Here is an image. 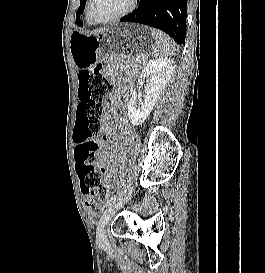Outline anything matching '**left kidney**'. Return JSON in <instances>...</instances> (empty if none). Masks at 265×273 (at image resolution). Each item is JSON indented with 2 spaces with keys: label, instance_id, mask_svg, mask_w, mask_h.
<instances>
[{
  "label": "left kidney",
  "instance_id": "left-kidney-1",
  "mask_svg": "<svg viewBox=\"0 0 265 273\" xmlns=\"http://www.w3.org/2000/svg\"><path fill=\"white\" fill-rule=\"evenodd\" d=\"M175 67L173 59L161 57L153 59L143 68L138 83L139 85L142 84L146 77H150V83L145 86L143 104L140 110L136 109V101L139 98L136 88L128 102V116L133 125L143 123L149 116L161 92L171 79Z\"/></svg>",
  "mask_w": 265,
  "mask_h": 273
}]
</instances>
